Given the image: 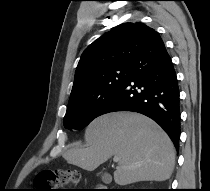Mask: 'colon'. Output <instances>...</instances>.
<instances>
[{
  "label": "colon",
  "instance_id": "5ec220e1",
  "mask_svg": "<svg viewBox=\"0 0 210 191\" xmlns=\"http://www.w3.org/2000/svg\"><path fill=\"white\" fill-rule=\"evenodd\" d=\"M80 175L75 171L56 170L39 174L35 179V189L32 191H80L64 190L60 186L76 184L80 181Z\"/></svg>",
  "mask_w": 210,
  "mask_h": 191
}]
</instances>
